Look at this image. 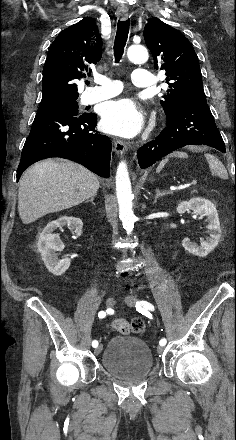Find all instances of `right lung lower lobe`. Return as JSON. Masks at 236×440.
Returning a JSON list of instances; mask_svg holds the SVG:
<instances>
[{
  "label": "right lung lower lobe",
  "instance_id": "obj_1",
  "mask_svg": "<svg viewBox=\"0 0 236 440\" xmlns=\"http://www.w3.org/2000/svg\"><path fill=\"white\" fill-rule=\"evenodd\" d=\"M94 113L39 108L24 144L17 181L33 163L46 158L73 160L101 177L110 176L111 141L96 130Z\"/></svg>",
  "mask_w": 236,
  "mask_h": 440
}]
</instances>
